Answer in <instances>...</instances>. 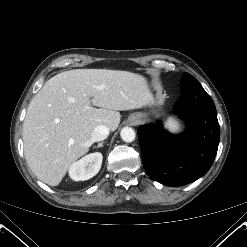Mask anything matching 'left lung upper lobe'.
Instances as JSON below:
<instances>
[{
	"label": "left lung upper lobe",
	"mask_w": 247,
	"mask_h": 247,
	"mask_svg": "<svg viewBox=\"0 0 247 247\" xmlns=\"http://www.w3.org/2000/svg\"><path fill=\"white\" fill-rule=\"evenodd\" d=\"M191 78H193V76H191L188 73H185L184 76H183V78H182V81L187 80V79H191Z\"/></svg>",
	"instance_id": "obj_1"
}]
</instances>
